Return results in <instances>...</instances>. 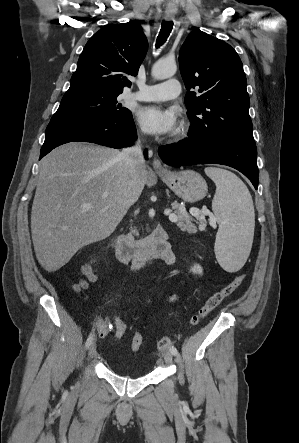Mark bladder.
<instances>
[{"instance_id": "bladder-1", "label": "bladder", "mask_w": 299, "mask_h": 443, "mask_svg": "<svg viewBox=\"0 0 299 443\" xmlns=\"http://www.w3.org/2000/svg\"><path fill=\"white\" fill-rule=\"evenodd\" d=\"M111 370L118 375L127 376L131 378L142 377L145 374V370L139 364L128 365L126 368H121L112 365Z\"/></svg>"}]
</instances>
